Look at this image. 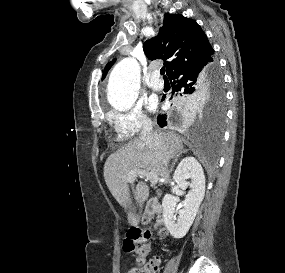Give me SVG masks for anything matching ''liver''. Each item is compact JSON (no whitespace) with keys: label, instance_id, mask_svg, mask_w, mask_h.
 Wrapping results in <instances>:
<instances>
[{"label":"liver","instance_id":"obj_1","mask_svg":"<svg viewBox=\"0 0 285 273\" xmlns=\"http://www.w3.org/2000/svg\"><path fill=\"white\" fill-rule=\"evenodd\" d=\"M160 136L168 161L183 150V139L178 135L162 133ZM133 169L155 172L164 184L169 181L170 171L158 156L156 147L140 138L128 142L107 158L104 165L106 185L117 202L127 211L128 218L135 223L136 207L133 198L136 204L142 207L149 197V188L144 182L139 181L132 192L133 197L131 196L127 178Z\"/></svg>","mask_w":285,"mask_h":273}]
</instances>
